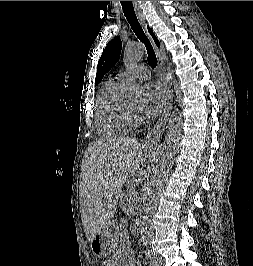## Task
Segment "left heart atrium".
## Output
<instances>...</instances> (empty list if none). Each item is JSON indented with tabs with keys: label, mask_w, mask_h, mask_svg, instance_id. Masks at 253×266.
<instances>
[{
	"label": "left heart atrium",
	"mask_w": 253,
	"mask_h": 266,
	"mask_svg": "<svg viewBox=\"0 0 253 266\" xmlns=\"http://www.w3.org/2000/svg\"><path fill=\"white\" fill-rule=\"evenodd\" d=\"M142 92L141 111L147 116H156L166 105L167 96L164 88L158 83L149 82L143 86Z\"/></svg>",
	"instance_id": "left-heart-atrium-1"
}]
</instances>
